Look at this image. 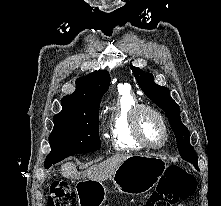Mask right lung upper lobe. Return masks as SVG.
I'll return each mask as SVG.
<instances>
[{"instance_id": "cb5924a9", "label": "right lung upper lobe", "mask_w": 221, "mask_h": 206, "mask_svg": "<svg viewBox=\"0 0 221 206\" xmlns=\"http://www.w3.org/2000/svg\"><path fill=\"white\" fill-rule=\"evenodd\" d=\"M110 80V75L106 70L78 78L75 92L62 98L60 113L99 107L103 94L109 88Z\"/></svg>"}]
</instances>
